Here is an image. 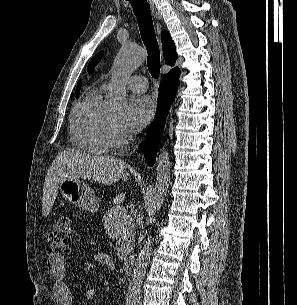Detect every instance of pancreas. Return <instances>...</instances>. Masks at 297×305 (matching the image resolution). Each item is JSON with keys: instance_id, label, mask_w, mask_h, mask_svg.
<instances>
[{"instance_id": "obj_1", "label": "pancreas", "mask_w": 297, "mask_h": 305, "mask_svg": "<svg viewBox=\"0 0 297 305\" xmlns=\"http://www.w3.org/2000/svg\"><path fill=\"white\" fill-rule=\"evenodd\" d=\"M104 227L108 236L119 245L118 257L123 260L133 249L135 226L126 210L121 206L110 208L103 217Z\"/></svg>"}]
</instances>
